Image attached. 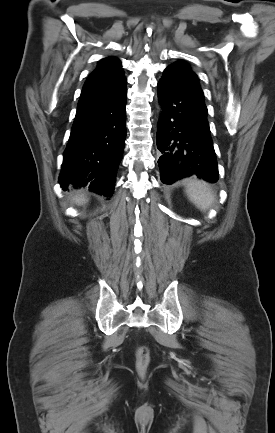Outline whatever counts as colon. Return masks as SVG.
<instances>
[{
  "label": "colon",
  "mask_w": 275,
  "mask_h": 433,
  "mask_svg": "<svg viewBox=\"0 0 275 433\" xmlns=\"http://www.w3.org/2000/svg\"><path fill=\"white\" fill-rule=\"evenodd\" d=\"M149 350L146 346H139L136 351V370L140 375H144L149 367Z\"/></svg>",
  "instance_id": "5ec220e1"
}]
</instances>
